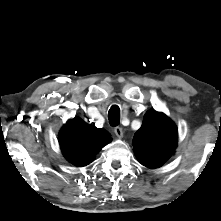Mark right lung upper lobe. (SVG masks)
Returning <instances> with one entry per match:
<instances>
[{
	"label": "right lung upper lobe",
	"instance_id": "obj_1",
	"mask_svg": "<svg viewBox=\"0 0 221 221\" xmlns=\"http://www.w3.org/2000/svg\"><path fill=\"white\" fill-rule=\"evenodd\" d=\"M111 141L110 134L89 125L80 118L69 120L59 133V143L65 158L77 167L91 163L94 156Z\"/></svg>",
	"mask_w": 221,
	"mask_h": 221
}]
</instances>
